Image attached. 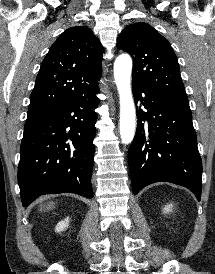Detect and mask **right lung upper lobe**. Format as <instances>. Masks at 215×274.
Listing matches in <instances>:
<instances>
[{
    "label": "right lung upper lobe",
    "instance_id": "cb5924a9",
    "mask_svg": "<svg viewBox=\"0 0 215 274\" xmlns=\"http://www.w3.org/2000/svg\"><path fill=\"white\" fill-rule=\"evenodd\" d=\"M102 54V45L88 27L65 30L41 64L28 113H49L90 91L101 76Z\"/></svg>",
    "mask_w": 215,
    "mask_h": 274
}]
</instances>
